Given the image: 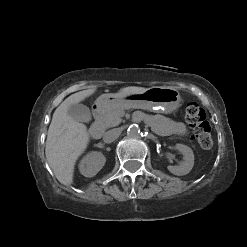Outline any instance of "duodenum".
<instances>
[{"label":"duodenum","mask_w":247,"mask_h":247,"mask_svg":"<svg viewBox=\"0 0 247 247\" xmlns=\"http://www.w3.org/2000/svg\"><path fill=\"white\" fill-rule=\"evenodd\" d=\"M105 108L103 106H98L94 110L95 121L90 128V135L94 139H99L103 135L104 125H103V115Z\"/></svg>","instance_id":"duodenum-1"}]
</instances>
